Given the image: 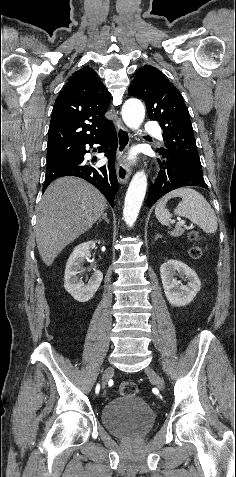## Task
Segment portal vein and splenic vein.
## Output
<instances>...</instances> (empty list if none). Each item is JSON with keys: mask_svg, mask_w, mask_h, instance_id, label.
Instances as JSON below:
<instances>
[{"mask_svg": "<svg viewBox=\"0 0 236 477\" xmlns=\"http://www.w3.org/2000/svg\"><path fill=\"white\" fill-rule=\"evenodd\" d=\"M184 224H185L184 220H180L179 222H177V225H179V226H183Z\"/></svg>", "mask_w": 236, "mask_h": 477, "instance_id": "obj_1", "label": "portal vein and splenic vein"}]
</instances>
